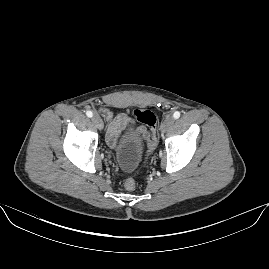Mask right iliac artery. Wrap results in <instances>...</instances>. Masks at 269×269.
Wrapping results in <instances>:
<instances>
[{
	"mask_svg": "<svg viewBox=\"0 0 269 269\" xmlns=\"http://www.w3.org/2000/svg\"><path fill=\"white\" fill-rule=\"evenodd\" d=\"M86 115H87L88 117H92V116H93V113H92L91 111H87V112H86Z\"/></svg>",
	"mask_w": 269,
	"mask_h": 269,
	"instance_id": "obj_1",
	"label": "right iliac artery"
}]
</instances>
